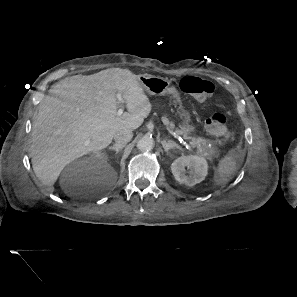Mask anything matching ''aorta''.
<instances>
[{"instance_id": "762f6f07", "label": "aorta", "mask_w": 297, "mask_h": 297, "mask_svg": "<svg viewBox=\"0 0 297 297\" xmlns=\"http://www.w3.org/2000/svg\"><path fill=\"white\" fill-rule=\"evenodd\" d=\"M136 147L140 151H150L154 147V140L149 136H144L138 140Z\"/></svg>"}]
</instances>
